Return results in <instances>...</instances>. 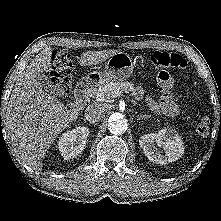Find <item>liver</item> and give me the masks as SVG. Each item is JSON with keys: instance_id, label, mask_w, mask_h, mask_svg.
<instances>
[{"instance_id": "6515ba94", "label": "liver", "mask_w": 221, "mask_h": 221, "mask_svg": "<svg viewBox=\"0 0 221 221\" xmlns=\"http://www.w3.org/2000/svg\"><path fill=\"white\" fill-rule=\"evenodd\" d=\"M117 50L87 51L81 55V66L105 62ZM52 48L42 50L20 73L12 91L5 119L7 137L13 151L24 164L41 169L50 144L76 120L77 109H68L47 94L38 76L50 72Z\"/></svg>"}]
</instances>
